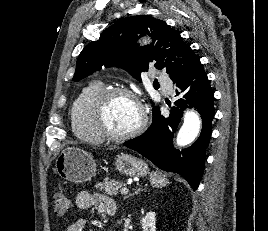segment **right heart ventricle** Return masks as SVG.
I'll list each match as a JSON object with an SVG mask.
<instances>
[{"instance_id": "obj_1", "label": "right heart ventricle", "mask_w": 268, "mask_h": 231, "mask_svg": "<svg viewBox=\"0 0 268 231\" xmlns=\"http://www.w3.org/2000/svg\"><path fill=\"white\" fill-rule=\"evenodd\" d=\"M104 85L101 81L93 80L88 82L72 102L69 114L72 131L81 140L97 143L102 142L92 128L89 119V107L93 97L102 89Z\"/></svg>"}]
</instances>
